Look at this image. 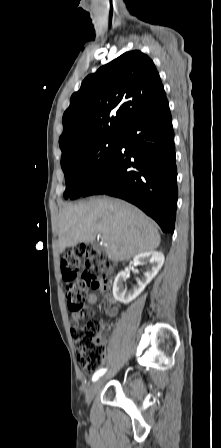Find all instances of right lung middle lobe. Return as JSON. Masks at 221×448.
Returning a JSON list of instances; mask_svg holds the SVG:
<instances>
[{
	"label": "right lung middle lobe",
	"instance_id": "obj_1",
	"mask_svg": "<svg viewBox=\"0 0 221 448\" xmlns=\"http://www.w3.org/2000/svg\"><path fill=\"white\" fill-rule=\"evenodd\" d=\"M117 140L118 135L92 140L61 159L66 181L65 199H76L83 195L111 158Z\"/></svg>",
	"mask_w": 221,
	"mask_h": 448
}]
</instances>
